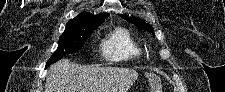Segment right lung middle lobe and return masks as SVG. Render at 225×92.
<instances>
[{
  "mask_svg": "<svg viewBox=\"0 0 225 92\" xmlns=\"http://www.w3.org/2000/svg\"><path fill=\"white\" fill-rule=\"evenodd\" d=\"M104 20L88 24L76 29L65 30L59 38L58 48L47 61L45 68L59 61L66 54H72L81 49L85 41L91 36L93 31L97 29Z\"/></svg>",
  "mask_w": 225,
  "mask_h": 92,
  "instance_id": "obj_1",
  "label": "right lung middle lobe"
}]
</instances>
